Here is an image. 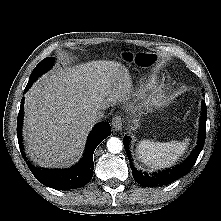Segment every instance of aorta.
Listing matches in <instances>:
<instances>
[{"label": "aorta", "instance_id": "aorta-1", "mask_svg": "<svg viewBox=\"0 0 221 221\" xmlns=\"http://www.w3.org/2000/svg\"><path fill=\"white\" fill-rule=\"evenodd\" d=\"M107 149L113 154L120 153L123 149V143L119 138L111 137L107 141Z\"/></svg>", "mask_w": 221, "mask_h": 221}]
</instances>
